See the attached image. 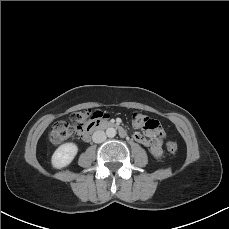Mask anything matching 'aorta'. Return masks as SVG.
I'll return each mask as SVG.
<instances>
[{
  "mask_svg": "<svg viewBox=\"0 0 229 229\" xmlns=\"http://www.w3.org/2000/svg\"><path fill=\"white\" fill-rule=\"evenodd\" d=\"M116 129L115 128H112V127H110V128H108L107 130H106V135L109 137V138H113V137H115L116 136Z\"/></svg>",
  "mask_w": 229,
  "mask_h": 229,
  "instance_id": "aorta-1",
  "label": "aorta"
}]
</instances>
